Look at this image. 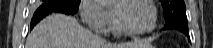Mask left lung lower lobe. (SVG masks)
Returning a JSON list of instances; mask_svg holds the SVG:
<instances>
[{
	"mask_svg": "<svg viewBox=\"0 0 213 48\" xmlns=\"http://www.w3.org/2000/svg\"><path fill=\"white\" fill-rule=\"evenodd\" d=\"M165 28L167 29H177L184 33L189 39V33H188V24H181L178 22H166Z\"/></svg>",
	"mask_w": 213,
	"mask_h": 48,
	"instance_id": "obj_1",
	"label": "left lung lower lobe"
}]
</instances>
